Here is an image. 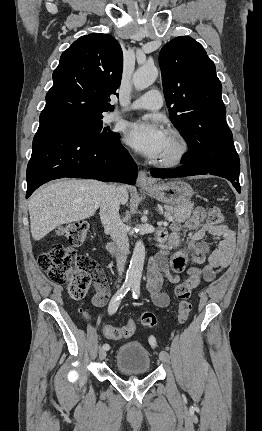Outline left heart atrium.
<instances>
[{
  "label": "left heart atrium",
  "mask_w": 262,
  "mask_h": 431,
  "mask_svg": "<svg viewBox=\"0 0 262 431\" xmlns=\"http://www.w3.org/2000/svg\"><path fill=\"white\" fill-rule=\"evenodd\" d=\"M168 133L157 121L141 120L130 123L125 131L127 144L149 158H159Z\"/></svg>",
  "instance_id": "1"
}]
</instances>
